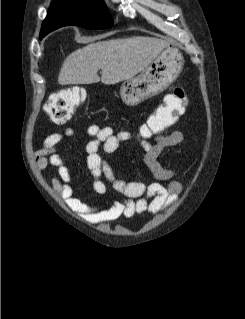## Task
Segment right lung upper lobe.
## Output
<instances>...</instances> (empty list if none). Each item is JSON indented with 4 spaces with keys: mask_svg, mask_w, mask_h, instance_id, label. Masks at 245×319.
I'll return each instance as SVG.
<instances>
[{
    "mask_svg": "<svg viewBox=\"0 0 245 319\" xmlns=\"http://www.w3.org/2000/svg\"><path fill=\"white\" fill-rule=\"evenodd\" d=\"M55 1H63V0H55ZM54 25L55 23L51 21L50 13L48 12L47 18L43 22L42 29H47Z\"/></svg>",
    "mask_w": 245,
    "mask_h": 319,
    "instance_id": "1",
    "label": "right lung upper lobe"
}]
</instances>
